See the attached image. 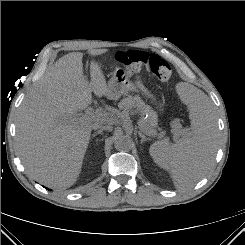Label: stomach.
Listing matches in <instances>:
<instances>
[{
    "label": "stomach",
    "instance_id": "1",
    "mask_svg": "<svg viewBox=\"0 0 245 245\" xmlns=\"http://www.w3.org/2000/svg\"><path fill=\"white\" fill-rule=\"evenodd\" d=\"M108 88L110 91L109 97L112 99H118L122 95L128 92H140L146 97L150 98L154 102L160 111L163 110L162 106L158 103L154 94H152L143 84L138 76H129L124 68L118 67L115 69L113 76L108 82Z\"/></svg>",
    "mask_w": 245,
    "mask_h": 245
}]
</instances>
